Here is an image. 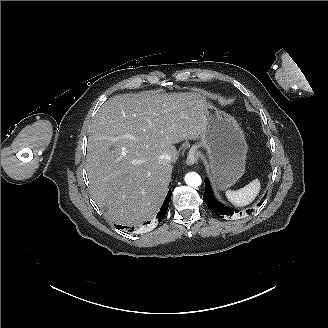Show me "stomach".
Instances as JSON below:
<instances>
[{"mask_svg": "<svg viewBox=\"0 0 328 328\" xmlns=\"http://www.w3.org/2000/svg\"><path fill=\"white\" fill-rule=\"evenodd\" d=\"M202 112L204 130L194 149L202 148L208 158L207 169L213 183L221 190L234 185L244 174L248 145L236 119L211 101Z\"/></svg>", "mask_w": 328, "mask_h": 328, "instance_id": "0dacf381", "label": "stomach"}]
</instances>
